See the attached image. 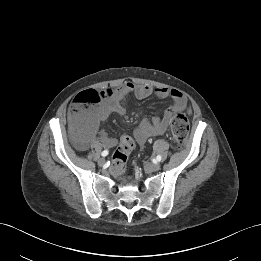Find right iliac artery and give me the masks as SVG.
<instances>
[{"label":"right iliac artery","instance_id":"obj_1","mask_svg":"<svg viewBox=\"0 0 261 261\" xmlns=\"http://www.w3.org/2000/svg\"><path fill=\"white\" fill-rule=\"evenodd\" d=\"M102 156H107L108 155V151L107 150H104L102 153H101Z\"/></svg>","mask_w":261,"mask_h":261}]
</instances>
